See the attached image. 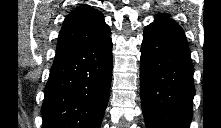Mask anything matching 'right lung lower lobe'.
I'll list each match as a JSON object with an SVG mask.
<instances>
[{
	"mask_svg": "<svg viewBox=\"0 0 221 128\" xmlns=\"http://www.w3.org/2000/svg\"><path fill=\"white\" fill-rule=\"evenodd\" d=\"M112 41L57 50L44 89L42 128H100L109 99Z\"/></svg>",
	"mask_w": 221,
	"mask_h": 128,
	"instance_id": "1",
	"label": "right lung lower lobe"
}]
</instances>
